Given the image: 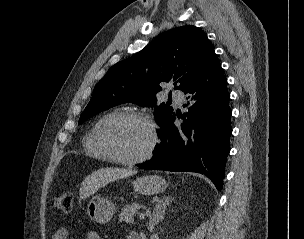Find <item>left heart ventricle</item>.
<instances>
[{
  "mask_svg": "<svg viewBox=\"0 0 304 239\" xmlns=\"http://www.w3.org/2000/svg\"><path fill=\"white\" fill-rule=\"evenodd\" d=\"M108 139L120 156L134 158L148 148L151 131L144 122L129 119L113 125L108 131Z\"/></svg>",
  "mask_w": 304,
  "mask_h": 239,
  "instance_id": "1",
  "label": "left heart ventricle"
}]
</instances>
